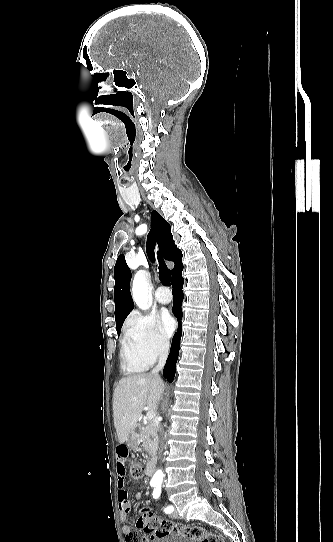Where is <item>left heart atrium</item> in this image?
<instances>
[{"label": "left heart atrium", "mask_w": 333, "mask_h": 542, "mask_svg": "<svg viewBox=\"0 0 333 542\" xmlns=\"http://www.w3.org/2000/svg\"><path fill=\"white\" fill-rule=\"evenodd\" d=\"M163 323L168 333H171L176 326L175 320L170 315L163 317Z\"/></svg>", "instance_id": "obj_1"}]
</instances>
